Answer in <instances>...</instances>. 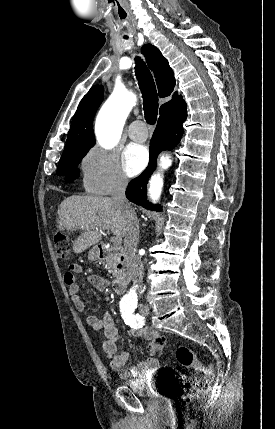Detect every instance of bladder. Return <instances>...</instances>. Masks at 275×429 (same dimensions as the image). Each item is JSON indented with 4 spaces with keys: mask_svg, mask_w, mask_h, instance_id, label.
Segmentation results:
<instances>
[{
    "mask_svg": "<svg viewBox=\"0 0 275 429\" xmlns=\"http://www.w3.org/2000/svg\"><path fill=\"white\" fill-rule=\"evenodd\" d=\"M130 393L136 398H148L149 403H178V384L175 377L131 378Z\"/></svg>",
    "mask_w": 275,
    "mask_h": 429,
    "instance_id": "obj_1",
    "label": "bladder"
}]
</instances>
